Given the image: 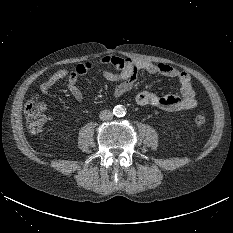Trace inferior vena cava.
<instances>
[{
	"instance_id": "1",
	"label": "inferior vena cava",
	"mask_w": 233,
	"mask_h": 233,
	"mask_svg": "<svg viewBox=\"0 0 233 233\" xmlns=\"http://www.w3.org/2000/svg\"><path fill=\"white\" fill-rule=\"evenodd\" d=\"M99 117L103 121L111 120L113 118V113L110 110H103L100 112Z\"/></svg>"
}]
</instances>
